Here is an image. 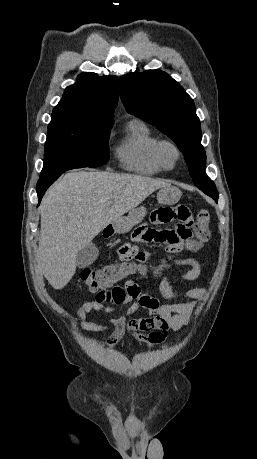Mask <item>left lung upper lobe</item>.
<instances>
[{
    "instance_id": "left-lung-upper-lobe-1",
    "label": "left lung upper lobe",
    "mask_w": 257,
    "mask_h": 459,
    "mask_svg": "<svg viewBox=\"0 0 257 459\" xmlns=\"http://www.w3.org/2000/svg\"><path fill=\"white\" fill-rule=\"evenodd\" d=\"M120 96L130 114L156 126L177 144L194 184L217 202L216 186L205 173L200 121L185 90L167 73L147 70L121 76Z\"/></svg>"
}]
</instances>
